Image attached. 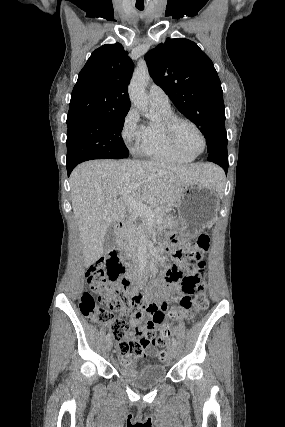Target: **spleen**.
<instances>
[{"mask_svg":"<svg viewBox=\"0 0 285 427\" xmlns=\"http://www.w3.org/2000/svg\"><path fill=\"white\" fill-rule=\"evenodd\" d=\"M223 188H224V175L221 172L218 175L216 190L219 191V192H221V191H223Z\"/></svg>","mask_w":285,"mask_h":427,"instance_id":"1","label":"spleen"}]
</instances>
